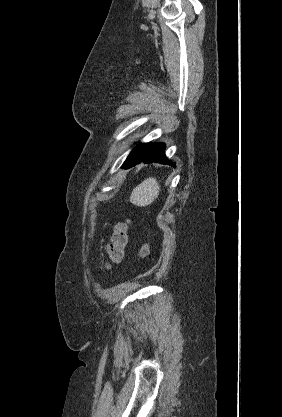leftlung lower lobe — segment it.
<instances>
[{
  "mask_svg": "<svg viewBox=\"0 0 282 417\" xmlns=\"http://www.w3.org/2000/svg\"><path fill=\"white\" fill-rule=\"evenodd\" d=\"M164 149L165 145L163 143H141L132 150L131 154L128 156L121 168L129 169L141 162H158L175 167V163L166 158Z\"/></svg>",
  "mask_w": 282,
  "mask_h": 417,
  "instance_id": "0a47b994",
  "label": "left lung lower lobe"
}]
</instances>
